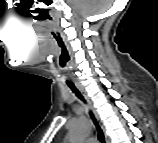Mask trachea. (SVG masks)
Masks as SVG:
<instances>
[{
    "label": "trachea",
    "mask_w": 158,
    "mask_h": 143,
    "mask_svg": "<svg viewBox=\"0 0 158 143\" xmlns=\"http://www.w3.org/2000/svg\"><path fill=\"white\" fill-rule=\"evenodd\" d=\"M67 85L70 87V89L72 90V92L75 93L76 96H77L80 100H82L84 103H86L85 100L83 99L82 95L80 94V92H79V91L76 89V87L74 86V84H72V83H67ZM89 114H90L91 119L93 120V123H94L95 126H96L97 131H98V139H99V141L102 142V143H105L104 135H103L102 129H101L100 126L98 125V123H97V121H96V119H95L93 113H92V112H89Z\"/></svg>",
    "instance_id": "trachea-1"
}]
</instances>
